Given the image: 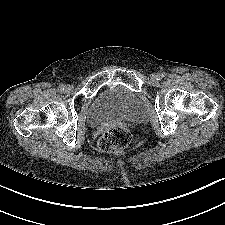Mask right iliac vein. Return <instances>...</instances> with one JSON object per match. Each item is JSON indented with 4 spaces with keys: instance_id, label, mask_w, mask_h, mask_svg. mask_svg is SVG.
I'll use <instances>...</instances> for the list:
<instances>
[{
    "instance_id": "right-iliac-vein-1",
    "label": "right iliac vein",
    "mask_w": 225,
    "mask_h": 225,
    "mask_svg": "<svg viewBox=\"0 0 225 225\" xmlns=\"http://www.w3.org/2000/svg\"><path fill=\"white\" fill-rule=\"evenodd\" d=\"M66 89H67L68 91H71V90L73 89V86H72V85H67V86H66Z\"/></svg>"
}]
</instances>
